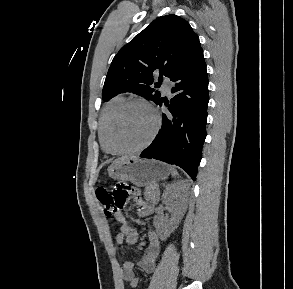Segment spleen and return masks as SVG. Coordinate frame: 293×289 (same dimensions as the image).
<instances>
[{"mask_svg":"<svg viewBox=\"0 0 293 289\" xmlns=\"http://www.w3.org/2000/svg\"><path fill=\"white\" fill-rule=\"evenodd\" d=\"M171 173H172V176L174 177L178 175L177 170H175L174 168H171Z\"/></svg>","mask_w":293,"mask_h":289,"instance_id":"obj_1","label":"spleen"}]
</instances>
